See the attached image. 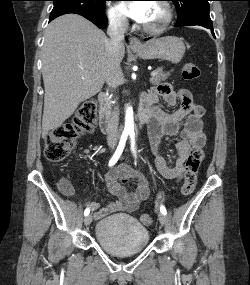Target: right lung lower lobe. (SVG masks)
<instances>
[{
	"instance_id": "1",
	"label": "right lung lower lobe",
	"mask_w": 250,
	"mask_h": 285,
	"mask_svg": "<svg viewBox=\"0 0 250 285\" xmlns=\"http://www.w3.org/2000/svg\"><path fill=\"white\" fill-rule=\"evenodd\" d=\"M75 14H79L86 19L90 20L93 22L96 26L99 28L103 29L107 26V18L105 15H99V14H91V13H85V12H76ZM54 18H50L49 21L53 20Z\"/></svg>"
}]
</instances>
